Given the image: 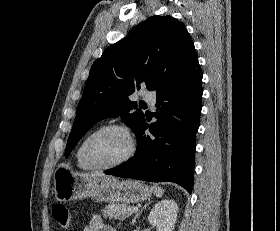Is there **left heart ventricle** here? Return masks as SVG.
<instances>
[{"label": "left heart ventricle", "instance_id": "1", "mask_svg": "<svg viewBox=\"0 0 280 231\" xmlns=\"http://www.w3.org/2000/svg\"><path fill=\"white\" fill-rule=\"evenodd\" d=\"M128 143L119 131H108L97 137L90 146L91 159L98 165L110 164L123 156Z\"/></svg>", "mask_w": 280, "mask_h": 231}]
</instances>
